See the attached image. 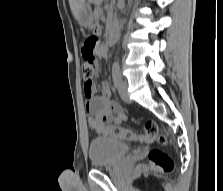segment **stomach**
Wrapping results in <instances>:
<instances>
[{"label": "stomach", "mask_w": 223, "mask_h": 191, "mask_svg": "<svg viewBox=\"0 0 223 191\" xmlns=\"http://www.w3.org/2000/svg\"><path fill=\"white\" fill-rule=\"evenodd\" d=\"M91 1V0H89ZM78 22L82 27H91L94 22V13L92 12L89 2L83 7Z\"/></svg>", "instance_id": "0dacf381"}]
</instances>
